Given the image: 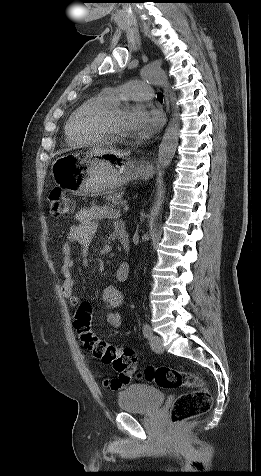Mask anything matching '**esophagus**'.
<instances>
[{
	"mask_svg": "<svg viewBox=\"0 0 261 476\" xmlns=\"http://www.w3.org/2000/svg\"><path fill=\"white\" fill-rule=\"evenodd\" d=\"M165 100H166V105H167V110L169 109V103H168V98H167V95L165 93Z\"/></svg>",
	"mask_w": 261,
	"mask_h": 476,
	"instance_id": "esophagus-1",
	"label": "esophagus"
}]
</instances>
